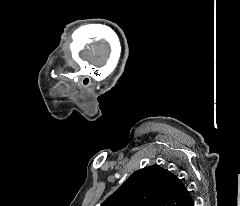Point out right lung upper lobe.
Instances as JSON below:
<instances>
[{"label":"right lung upper lobe","mask_w":240,"mask_h":206,"mask_svg":"<svg viewBox=\"0 0 240 206\" xmlns=\"http://www.w3.org/2000/svg\"><path fill=\"white\" fill-rule=\"evenodd\" d=\"M191 201L177 176L153 165L134 172L101 206H187Z\"/></svg>","instance_id":"right-lung-upper-lobe-1"}]
</instances>
